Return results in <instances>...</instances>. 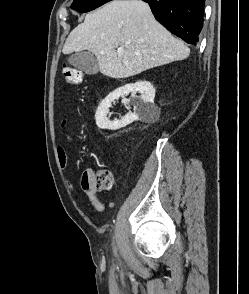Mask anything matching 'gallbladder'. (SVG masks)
<instances>
[{
  "label": "gallbladder",
  "mask_w": 249,
  "mask_h": 294,
  "mask_svg": "<svg viewBox=\"0 0 249 294\" xmlns=\"http://www.w3.org/2000/svg\"><path fill=\"white\" fill-rule=\"evenodd\" d=\"M68 62L78 70L86 74L94 75L99 71V66L96 57L86 51L76 52L69 56Z\"/></svg>",
  "instance_id": "obj_1"
}]
</instances>
